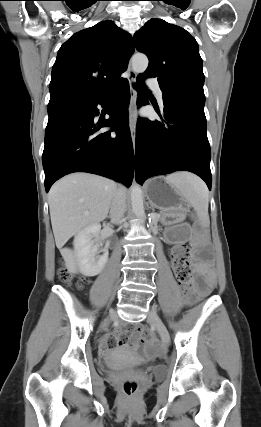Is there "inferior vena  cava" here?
Listing matches in <instances>:
<instances>
[{"mask_svg":"<svg viewBox=\"0 0 261 427\" xmlns=\"http://www.w3.org/2000/svg\"><path fill=\"white\" fill-rule=\"evenodd\" d=\"M126 211L125 192L118 188L112 198L110 218L112 222H119Z\"/></svg>","mask_w":261,"mask_h":427,"instance_id":"602c4592","label":"inferior vena cava"}]
</instances>
